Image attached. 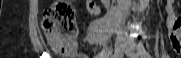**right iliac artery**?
Returning a JSON list of instances; mask_svg holds the SVG:
<instances>
[{"mask_svg":"<svg viewBox=\"0 0 181 58\" xmlns=\"http://www.w3.org/2000/svg\"><path fill=\"white\" fill-rule=\"evenodd\" d=\"M121 55H122V52L121 53H114L112 58H119Z\"/></svg>","mask_w":181,"mask_h":58,"instance_id":"82829eb1","label":"right iliac artery"}]
</instances>
